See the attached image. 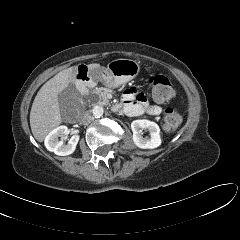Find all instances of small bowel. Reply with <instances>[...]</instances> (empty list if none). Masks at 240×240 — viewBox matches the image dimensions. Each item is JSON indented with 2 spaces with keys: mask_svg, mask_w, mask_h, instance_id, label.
Listing matches in <instances>:
<instances>
[{
  "mask_svg": "<svg viewBox=\"0 0 240 240\" xmlns=\"http://www.w3.org/2000/svg\"><path fill=\"white\" fill-rule=\"evenodd\" d=\"M119 107L125 114L133 117L143 114L157 116L162 112L161 106L150 104L146 96L135 87H129L124 91Z\"/></svg>",
  "mask_w": 240,
  "mask_h": 240,
  "instance_id": "1",
  "label": "small bowel"
}]
</instances>
